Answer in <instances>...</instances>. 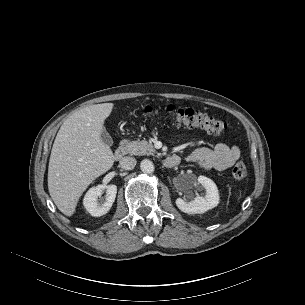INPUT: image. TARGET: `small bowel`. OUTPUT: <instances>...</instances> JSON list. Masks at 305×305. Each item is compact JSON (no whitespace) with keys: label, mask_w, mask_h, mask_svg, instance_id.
Listing matches in <instances>:
<instances>
[{"label":"small bowel","mask_w":305,"mask_h":305,"mask_svg":"<svg viewBox=\"0 0 305 305\" xmlns=\"http://www.w3.org/2000/svg\"><path fill=\"white\" fill-rule=\"evenodd\" d=\"M239 157L238 146H230L226 142H222L214 148H197L190 152L186 159L205 170L223 171L233 166Z\"/></svg>","instance_id":"c3829d8e"}]
</instances>
